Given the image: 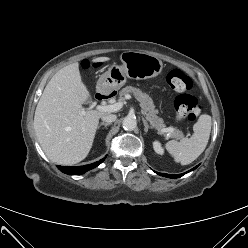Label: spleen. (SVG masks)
<instances>
[{
  "mask_svg": "<svg viewBox=\"0 0 248 248\" xmlns=\"http://www.w3.org/2000/svg\"><path fill=\"white\" fill-rule=\"evenodd\" d=\"M211 116L200 115L193 126V135L180 141L171 140L166 143L167 151L174 157L175 162L188 165L196 160L205 150L211 132Z\"/></svg>",
  "mask_w": 248,
  "mask_h": 248,
  "instance_id": "3e777b00",
  "label": "spleen"
}]
</instances>
